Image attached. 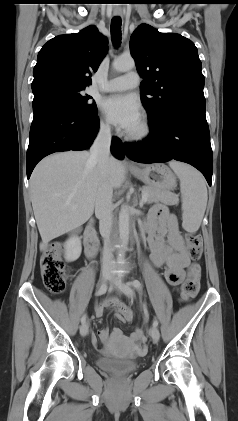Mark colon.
Returning <instances> with one entry per match:
<instances>
[{"mask_svg": "<svg viewBox=\"0 0 238 421\" xmlns=\"http://www.w3.org/2000/svg\"><path fill=\"white\" fill-rule=\"evenodd\" d=\"M62 246L53 245L42 255L40 270L45 287L52 293H61L66 287L69 270L61 257ZM188 255L193 261H198L202 255V239L194 235L188 238ZM200 267L195 264L189 277L183 282L180 300L187 302L193 298L199 289Z\"/></svg>", "mask_w": 238, "mask_h": 421, "instance_id": "5ec220e1", "label": "colon"}]
</instances>
